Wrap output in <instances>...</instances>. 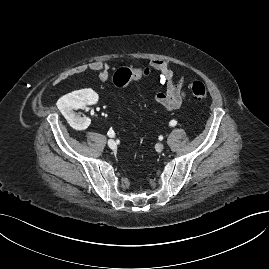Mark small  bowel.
Returning a JSON list of instances; mask_svg holds the SVG:
<instances>
[{
  "label": "small bowel",
  "mask_w": 269,
  "mask_h": 269,
  "mask_svg": "<svg viewBox=\"0 0 269 269\" xmlns=\"http://www.w3.org/2000/svg\"><path fill=\"white\" fill-rule=\"evenodd\" d=\"M148 64L152 69L157 71L158 80L165 87L163 92L156 93L152 97L153 102L168 110L178 109L186 99L182 78L176 76L173 66L169 61L150 59ZM77 70L96 72L101 81H107L110 76L109 64L101 61L87 62L77 67ZM132 71L134 72L135 79H140L143 76V69L141 68H136ZM64 77L65 73L55 78L52 84L57 85Z\"/></svg>",
  "instance_id": "1"
}]
</instances>
